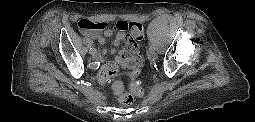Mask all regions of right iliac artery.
<instances>
[{"label": "right iliac artery", "instance_id": "82829eb1", "mask_svg": "<svg viewBox=\"0 0 255 122\" xmlns=\"http://www.w3.org/2000/svg\"><path fill=\"white\" fill-rule=\"evenodd\" d=\"M94 50H96L94 47H91L89 52L92 53Z\"/></svg>", "mask_w": 255, "mask_h": 122}]
</instances>
